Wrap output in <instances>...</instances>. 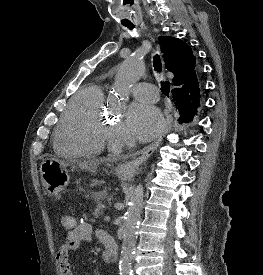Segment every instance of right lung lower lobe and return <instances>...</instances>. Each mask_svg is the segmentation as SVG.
Returning <instances> with one entry per match:
<instances>
[{"label": "right lung lower lobe", "instance_id": "1", "mask_svg": "<svg viewBox=\"0 0 263 275\" xmlns=\"http://www.w3.org/2000/svg\"><path fill=\"white\" fill-rule=\"evenodd\" d=\"M193 78L198 79L200 76L198 68H196L192 74ZM172 95H173V101L175 102V105L177 106V109L179 110L180 118L179 121L180 123L182 122H187L191 121L192 118L194 117L195 113H187L186 110L183 108V104L185 102V91L184 89H173L172 90Z\"/></svg>", "mask_w": 263, "mask_h": 275}]
</instances>
